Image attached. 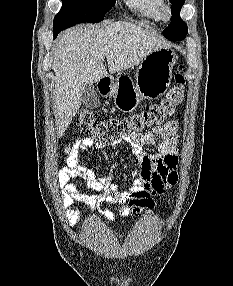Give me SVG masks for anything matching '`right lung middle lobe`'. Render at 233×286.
<instances>
[{"label": "right lung middle lobe", "instance_id": "right-lung-middle-lobe-1", "mask_svg": "<svg viewBox=\"0 0 233 286\" xmlns=\"http://www.w3.org/2000/svg\"><path fill=\"white\" fill-rule=\"evenodd\" d=\"M114 3L115 0H62L63 6L54 18L53 28L100 22Z\"/></svg>", "mask_w": 233, "mask_h": 286}]
</instances>
